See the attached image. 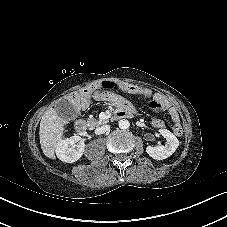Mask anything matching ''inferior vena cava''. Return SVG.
Instances as JSON below:
<instances>
[{
	"label": "inferior vena cava",
	"instance_id": "1",
	"mask_svg": "<svg viewBox=\"0 0 227 227\" xmlns=\"http://www.w3.org/2000/svg\"><path fill=\"white\" fill-rule=\"evenodd\" d=\"M110 128V126L109 125H103V126H101V127H98V128H96V130H95V134H103V133H105L108 129Z\"/></svg>",
	"mask_w": 227,
	"mask_h": 227
}]
</instances>
